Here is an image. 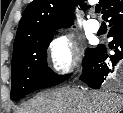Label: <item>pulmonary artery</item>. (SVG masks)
<instances>
[{
	"mask_svg": "<svg viewBox=\"0 0 123 113\" xmlns=\"http://www.w3.org/2000/svg\"><path fill=\"white\" fill-rule=\"evenodd\" d=\"M88 28L92 32H97L100 29V23L98 22V20L92 18L88 23Z\"/></svg>",
	"mask_w": 123,
	"mask_h": 113,
	"instance_id": "pulmonary-artery-1",
	"label": "pulmonary artery"
}]
</instances>
